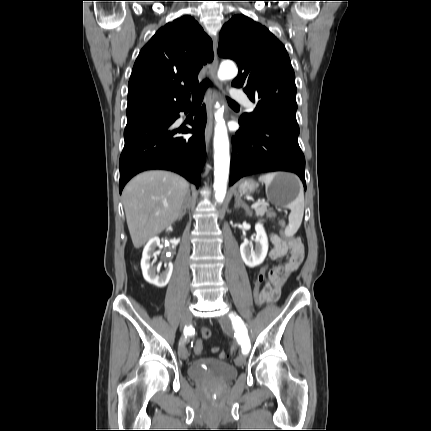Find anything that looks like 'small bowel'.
I'll use <instances>...</instances> for the list:
<instances>
[{
  "label": "small bowel",
  "mask_w": 431,
  "mask_h": 431,
  "mask_svg": "<svg viewBox=\"0 0 431 431\" xmlns=\"http://www.w3.org/2000/svg\"><path fill=\"white\" fill-rule=\"evenodd\" d=\"M270 238L273 247L269 252V258L276 260L288 254L289 257L284 264L273 267L265 273L267 275L262 284L259 305L274 302L279 298L286 280L299 268L304 258V246L300 239L286 241L276 234H272Z\"/></svg>",
  "instance_id": "c3829d8e"
}]
</instances>
